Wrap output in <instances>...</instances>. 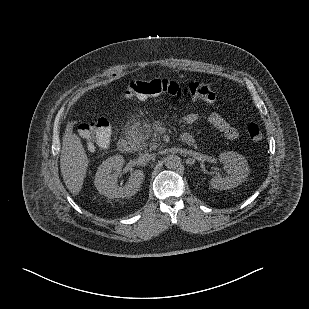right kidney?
<instances>
[{
	"label": "right kidney",
	"mask_w": 309,
	"mask_h": 309,
	"mask_svg": "<svg viewBox=\"0 0 309 309\" xmlns=\"http://www.w3.org/2000/svg\"><path fill=\"white\" fill-rule=\"evenodd\" d=\"M123 164L124 158L121 155H115L99 166L95 174L94 185L102 195L110 198H130L138 192L144 180V172L139 169L133 171L127 183L119 186L117 181Z\"/></svg>",
	"instance_id": "right-kidney-1"
}]
</instances>
